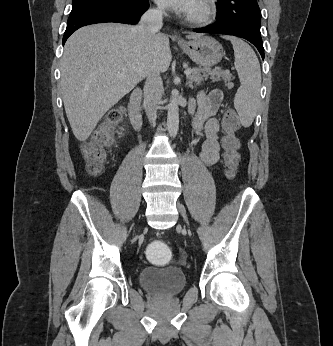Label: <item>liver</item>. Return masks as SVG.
<instances>
[{"label": "liver", "instance_id": "1", "mask_svg": "<svg viewBox=\"0 0 333 346\" xmlns=\"http://www.w3.org/2000/svg\"><path fill=\"white\" fill-rule=\"evenodd\" d=\"M171 60L164 34L149 38L137 26L116 23L78 29L65 43L60 80L74 136L85 141L103 115L146 77L150 65L164 73Z\"/></svg>", "mask_w": 333, "mask_h": 346}]
</instances>
